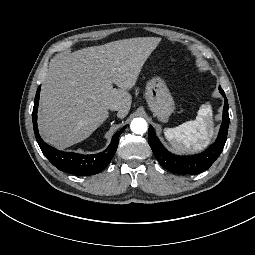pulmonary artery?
Here are the masks:
<instances>
[{
	"instance_id": "obj_1",
	"label": "pulmonary artery",
	"mask_w": 255,
	"mask_h": 255,
	"mask_svg": "<svg viewBox=\"0 0 255 255\" xmlns=\"http://www.w3.org/2000/svg\"><path fill=\"white\" fill-rule=\"evenodd\" d=\"M127 108V103L125 104V107L123 109H126Z\"/></svg>"
}]
</instances>
